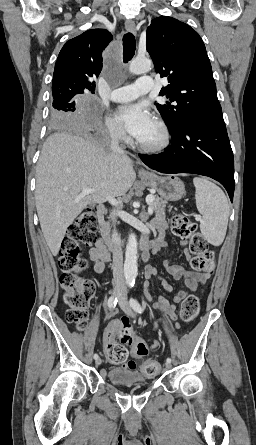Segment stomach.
I'll list each match as a JSON object with an SVG mask.
<instances>
[{"instance_id":"stomach-1","label":"stomach","mask_w":256,"mask_h":445,"mask_svg":"<svg viewBox=\"0 0 256 445\" xmlns=\"http://www.w3.org/2000/svg\"><path fill=\"white\" fill-rule=\"evenodd\" d=\"M146 186L155 190L165 201L175 202L185 194L183 182L174 175L160 177L152 174L149 178L142 177Z\"/></svg>"}]
</instances>
